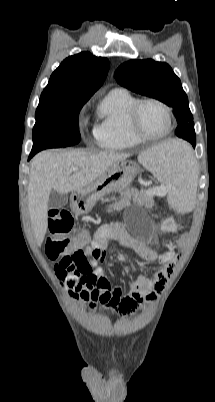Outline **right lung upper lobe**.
I'll list each match as a JSON object with an SVG mask.
<instances>
[{
    "mask_svg": "<svg viewBox=\"0 0 215 402\" xmlns=\"http://www.w3.org/2000/svg\"><path fill=\"white\" fill-rule=\"evenodd\" d=\"M108 70L105 57L89 52L70 56L52 73L41 96L90 98L103 84Z\"/></svg>",
    "mask_w": 215,
    "mask_h": 402,
    "instance_id": "obj_1",
    "label": "right lung upper lobe"
}]
</instances>
